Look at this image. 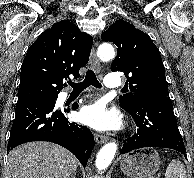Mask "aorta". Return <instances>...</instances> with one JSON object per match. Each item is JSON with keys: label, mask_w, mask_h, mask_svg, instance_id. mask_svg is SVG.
<instances>
[{"label": "aorta", "mask_w": 194, "mask_h": 178, "mask_svg": "<svg viewBox=\"0 0 194 178\" xmlns=\"http://www.w3.org/2000/svg\"><path fill=\"white\" fill-rule=\"evenodd\" d=\"M97 55L101 61H109L114 58L115 51L111 44L103 43L99 46ZM117 151L116 142L105 144L99 151L96 157V168L98 170L106 169L112 162Z\"/></svg>", "instance_id": "aorta-1"}]
</instances>
